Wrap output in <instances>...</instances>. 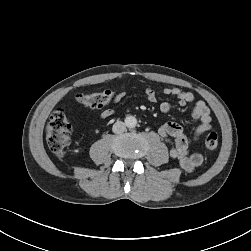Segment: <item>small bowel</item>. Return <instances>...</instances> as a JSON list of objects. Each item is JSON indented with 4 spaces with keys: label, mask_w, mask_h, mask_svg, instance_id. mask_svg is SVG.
I'll return each mask as SVG.
<instances>
[{
    "label": "small bowel",
    "mask_w": 251,
    "mask_h": 251,
    "mask_svg": "<svg viewBox=\"0 0 251 251\" xmlns=\"http://www.w3.org/2000/svg\"><path fill=\"white\" fill-rule=\"evenodd\" d=\"M162 93L167 96H173L178 100L181 106H185L194 101V95L191 92L184 91L180 88L172 87L163 89ZM125 91H120L113 98V103L120 102L124 96ZM145 94L147 100L151 103L158 101L157 92L152 88H146ZM159 109L163 113H167L171 109V105L163 101L159 105ZM113 108H107L102 111L101 118L104 120L109 119L114 114ZM193 117L199 120L198 125L192 131V140L197 142L201 136L212 128V117L209 107L204 101H197L195 103ZM158 132L170 145V156L177 160L179 165L186 172H192L199 167L203 162V156L198 153L188 154V141L180 125L174 122H167L159 127Z\"/></svg>",
    "instance_id": "c3829d8e"
}]
</instances>
